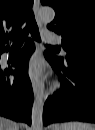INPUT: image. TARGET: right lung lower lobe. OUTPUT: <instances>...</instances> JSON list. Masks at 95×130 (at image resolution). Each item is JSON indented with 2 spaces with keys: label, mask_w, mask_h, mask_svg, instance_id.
Listing matches in <instances>:
<instances>
[{
  "label": "right lung lower lobe",
  "mask_w": 95,
  "mask_h": 130,
  "mask_svg": "<svg viewBox=\"0 0 95 130\" xmlns=\"http://www.w3.org/2000/svg\"><path fill=\"white\" fill-rule=\"evenodd\" d=\"M33 51L34 44L28 40L13 61L16 70L0 68V115L28 124H31L33 91L27 74V65ZM10 75H14V78L9 79Z\"/></svg>",
  "instance_id": "obj_1"
}]
</instances>
